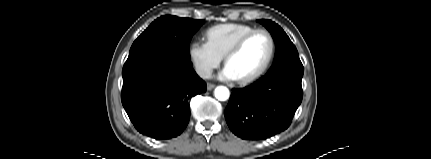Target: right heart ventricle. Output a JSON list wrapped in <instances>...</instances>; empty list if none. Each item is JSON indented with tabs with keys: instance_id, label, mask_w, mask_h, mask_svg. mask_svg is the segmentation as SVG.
I'll return each mask as SVG.
<instances>
[{
	"instance_id": "right-heart-ventricle-1",
	"label": "right heart ventricle",
	"mask_w": 431,
	"mask_h": 159,
	"mask_svg": "<svg viewBox=\"0 0 431 159\" xmlns=\"http://www.w3.org/2000/svg\"><path fill=\"white\" fill-rule=\"evenodd\" d=\"M254 29L250 25L241 23L218 24L206 31L207 42L221 57H224L243 35Z\"/></svg>"
}]
</instances>
